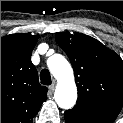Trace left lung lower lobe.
<instances>
[{"label": "left lung lower lobe", "mask_w": 123, "mask_h": 123, "mask_svg": "<svg viewBox=\"0 0 123 123\" xmlns=\"http://www.w3.org/2000/svg\"><path fill=\"white\" fill-rule=\"evenodd\" d=\"M66 123H112L115 118L75 105L64 114Z\"/></svg>", "instance_id": "1"}]
</instances>
